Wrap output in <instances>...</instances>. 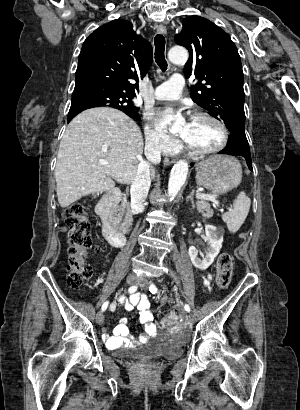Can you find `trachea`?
I'll list each match as a JSON object with an SVG mask.
<instances>
[{"label": "trachea", "mask_w": 300, "mask_h": 410, "mask_svg": "<svg viewBox=\"0 0 300 410\" xmlns=\"http://www.w3.org/2000/svg\"><path fill=\"white\" fill-rule=\"evenodd\" d=\"M155 43V61L160 69L165 72L167 70V61L165 59V38L162 34H157L154 38Z\"/></svg>", "instance_id": "3493384b"}]
</instances>
